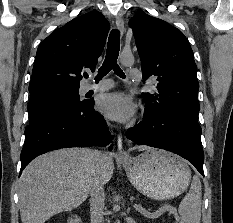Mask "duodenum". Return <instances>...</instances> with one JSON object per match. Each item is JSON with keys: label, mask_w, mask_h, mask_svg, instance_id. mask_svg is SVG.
Wrapping results in <instances>:
<instances>
[{"label": "duodenum", "mask_w": 233, "mask_h": 223, "mask_svg": "<svg viewBox=\"0 0 233 223\" xmlns=\"http://www.w3.org/2000/svg\"><path fill=\"white\" fill-rule=\"evenodd\" d=\"M68 223H81V220L78 216L72 215L69 217Z\"/></svg>", "instance_id": "1"}]
</instances>
